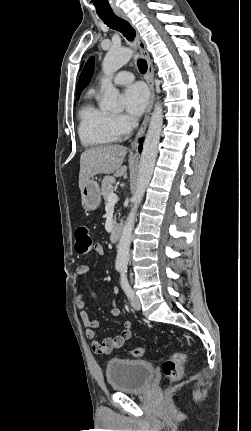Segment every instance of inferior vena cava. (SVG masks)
Listing matches in <instances>:
<instances>
[{
    "label": "inferior vena cava",
    "instance_id": "obj_1",
    "mask_svg": "<svg viewBox=\"0 0 251 431\" xmlns=\"http://www.w3.org/2000/svg\"><path fill=\"white\" fill-rule=\"evenodd\" d=\"M131 124H132V126H133L134 128L138 126V123H137V121H136V120H133Z\"/></svg>",
    "mask_w": 251,
    "mask_h": 431
}]
</instances>
